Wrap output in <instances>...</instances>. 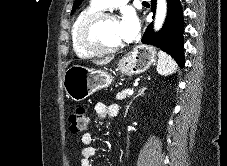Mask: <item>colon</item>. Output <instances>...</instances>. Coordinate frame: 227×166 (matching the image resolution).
<instances>
[{"label":"colon","mask_w":227,"mask_h":166,"mask_svg":"<svg viewBox=\"0 0 227 166\" xmlns=\"http://www.w3.org/2000/svg\"><path fill=\"white\" fill-rule=\"evenodd\" d=\"M70 131L73 133H80L88 127V117L84 107H77L69 116Z\"/></svg>","instance_id":"colon-1"}]
</instances>
